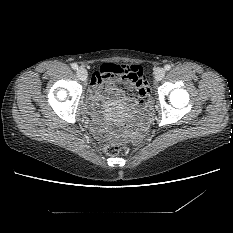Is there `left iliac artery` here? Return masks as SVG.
Returning <instances> with one entry per match:
<instances>
[{"label":"left iliac artery","instance_id":"44dca946","mask_svg":"<svg viewBox=\"0 0 233 233\" xmlns=\"http://www.w3.org/2000/svg\"><path fill=\"white\" fill-rule=\"evenodd\" d=\"M164 68H165V70L169 71V70L171 69V66H170L169 64H166V65L164 66Z\"/></svg>","mask_w":233,"mask_h":233}]
</instances>
